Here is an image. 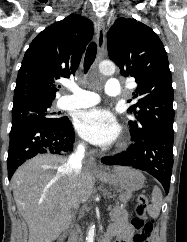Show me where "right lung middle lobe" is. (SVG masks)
Listing matches in <instances>:
<instances>
[{
  "mask_svg": "<svg viewBox=\"0 0 187 242\" xmlns=\"http://www.w3.org/2000/svg\"><path fill=\"white\" fill-rule=\"evenodd\" d=\"M52 102H30L12 108V127L22 124L64 123L67 117L55 118L50 112Z\"/></svg>",
  "mask_w": 187,
  "mask_h": 242,
  "instance_id": "right-lung-middle-lobe-1",
  "label": "right lung middle lobe"
}]
</instances>
